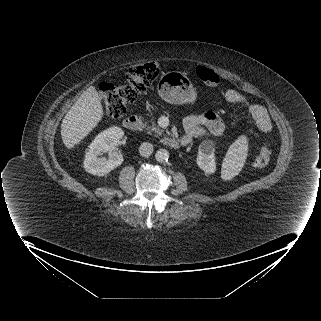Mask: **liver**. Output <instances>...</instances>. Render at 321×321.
I'll return each mask as SVG.
<instances>
[{"instance_id": "6515ba94", "label": "liver", "mask_w": 321, "mask_h": 321, "mask_svg": "<svg viewBox=\"0 0 321 321\" xmlns=\"http://www.w3.org/2000/svg\"><path fill=\"white\" fill-rule=\"evenodd\" d=\"M104 111L94 86L86 89L69 109L61 125V137L66 148L79 144L101 121Z\"/></svg>"}]
</instances>
